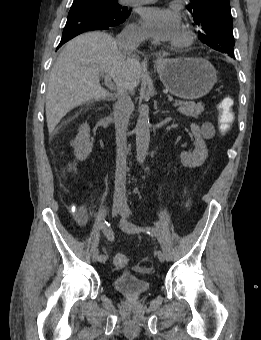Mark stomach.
<instances>
[{"label": "stomach", "mask_w": 261, "mask_h": 340, "mask_svg": "<svg viewBox=\"0 0 261 340\" xmlns=\"http://www.w3.org/2000/svg\"><path fill=\"white\" fill-rule=\"evenodd\" d=\"M159 77L176 97L194 100L207 95L217 81V72L206 59L190 57L156 62Z\"/></svg>", "instance_id": "stomach-1"}]
</instances>
